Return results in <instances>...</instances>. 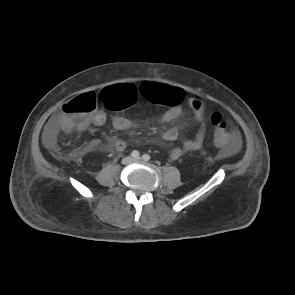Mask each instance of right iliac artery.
Wrapping results in <instances>:
<instances>
[{"instance_id": "right-iliac-artery-1", "label": "right iliac artery", "mask_w": 295, "mask_h": 295, "mask_svg": "<svg viewBox=\"0 0 295 295\" xmlns=\"http://www.w3.org/2000/svg\"><path fill=\"white\" fill-rule=\"evenodd\" d=\"M131 156L136 159V158H139L140 154L138 151L134 150L132 151Z\"/></svg>"}]
</instances>
